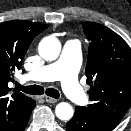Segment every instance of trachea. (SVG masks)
<instances>
[{
    "instance_id": "3493384b",
    "label": "trachea",
    "mask_w": 131,
    "mask_h": 131,
    "mask_svg": "<svg viewBox=\"0 0 131 131\" xmlns=\"http://www.w3.org/2000/svg\"><path fill=\"white\" fill-rule=\"evenodd\" d=\"M16 88L17 90L31 95H42L45 92L46 95L55 99H58L60 96L59 92L56 89L48 88L44 90V88L39 85L22 86L19 83H17Z\"/></svg>"
}]
</instances>
